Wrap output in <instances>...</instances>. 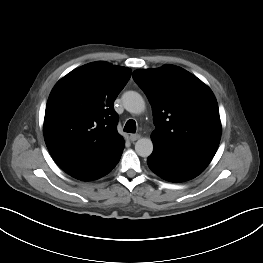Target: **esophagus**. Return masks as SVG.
Returning a JSON list of instances; mask_svg holds the SVG:
<instances>
[{"instance_id":"34e87169","label":"esophagus","mask_w":263,"mask_h":263,"mask_svg":"<svg viewBox=\"0 0 263 263\" xmlns=\"http://www.w3.org/2000/svg\"><path fill=\"white\" fill-rule=\"evenodd\" d=\"M138 139H140V135H139V134H131V135H130V140H131L132 142H134V141H136V140H138Z\"/></svg>"}]
</instances>
